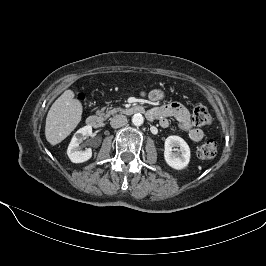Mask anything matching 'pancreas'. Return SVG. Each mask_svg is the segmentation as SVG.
<instances>
[{
  "instance_id": "pancreas-1",
  "label": "pancreas",
  "mask_w": 266,
  "mask_h": 266,
  "mask_svg": "<svg viewBox=\"0 0 266 266\" xmlns=\"http://www.w3.org/2000/svg\"><path fill=\"white\" fill-rule=\"evenodd\" d=\"M122 109L120 107L117 108H107V110L104 112V108H102L100 111H97V113L104 117H109L110 115H113L117 112H121Z\"/></svg>"
}]
</instances>
